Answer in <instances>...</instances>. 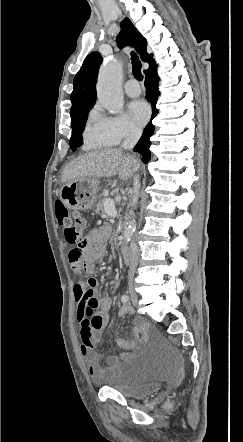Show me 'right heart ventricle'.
Segmentation results:
<instances>
[{
  "mask_svg": "<svg viewBox=\"0 0 243 442\" xmlns=\"http://www.w3.org/2000/svg\"><path fill=\"white\" fill-rule=\"evenodd\" d=\"M83 141L86 149L109 147L115 144V141L102 129L101 118L95 112L89 115L83 131Z\"/></svg>",
  "mask_w": 243,
  "mask_h": 442,
  "instance_id": "e07e8e85",
  "label": "right heart ventricle"
}]
</instances>
